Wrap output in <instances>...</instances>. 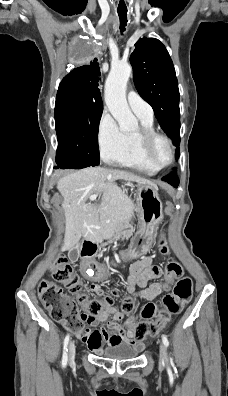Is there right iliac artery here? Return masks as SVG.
Wrapping results in <instances>:
<instances>
[{
    "label": "right iliac artery",
    "instance_id": "right-iliac-artery-1",
    "mask_svg": "<svg viewBox=\"0 0 228 396\" xmlns=\"http://www.w3.org/2000/svg\"><path fill=\"white\" fill-rule=\"evenodd\" d=\"M69 339L70 336L69 334L66 335L65 339H64V345H63V356H62V366L65 367L67 365V361H68V343H69Z\"/></svg>",
    "mask_w": 228,
    "mask_h": 396
}]
</instances>
